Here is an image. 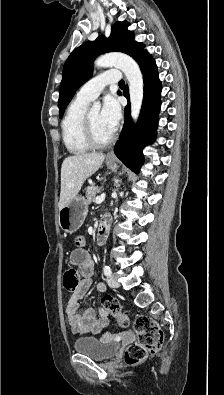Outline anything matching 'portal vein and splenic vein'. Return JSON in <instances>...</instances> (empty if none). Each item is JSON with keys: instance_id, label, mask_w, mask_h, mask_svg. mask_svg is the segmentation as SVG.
I'll list each match as a JSON object with an SVG mask.
<instances>
[{"instance_id": "portal-vein-and-splenic-vein-1", "label": "portal vein and splenic vein", "mask_w": 224, "mask_h": 395, "mask_svg": "<svg viewBox=\"0 0 224 395\" xmlns=\"http://www.w3.org/2000/svg\"><path fill=\"white\" fill-rule=\"evenodd\" d=\"M105 199V193L101 194L100 196L95 198V203L99 204L102 203Z\"/></svg>"}]
</instances>
